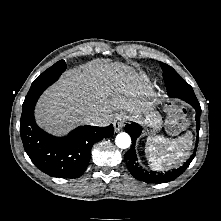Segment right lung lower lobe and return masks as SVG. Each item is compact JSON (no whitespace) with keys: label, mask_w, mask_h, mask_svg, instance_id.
I'll return each mask as SVG.
<instances>
[{"label":"right lung lower lobe","mask_w":221,"mask_h":221,"mask_svg":"<svg viewBox=\"0 0 221 221\" xmlns=\"http://www.w3.org/2000/svg\"><path fill=\"white\" fill-rule=\"evenodd\" d=\"M34 108L35 104L22 110V142L35 166L53 177H80L89 164L93 144L114 133L112 124L107 127L85 125L77 127L65 137H55L37 126Z\"/></svg>","instance_id":"1"}]
</instances>
